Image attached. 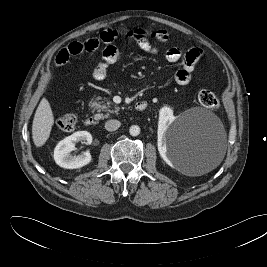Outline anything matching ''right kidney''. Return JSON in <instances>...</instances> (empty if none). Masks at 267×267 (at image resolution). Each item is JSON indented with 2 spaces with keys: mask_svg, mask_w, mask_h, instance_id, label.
<instances>
[{
  "mask_svg": "<svg viewBox=\"0 0 267 267\" xmlns=\"http://www.w3.org/2000/svg\"><path fill=\"white\" fill-rule=\"evenodd\" d=\"M79 141L85 144H91L92 136L87 131H77L57 144L53 155L57 165L65 169H77L91 162V154L88 151L77 156L70 154L75 150V143Z\"/></svg>",
  "mask_w": 267,
  "mask_h": 267,
  "instance_id": "right-kidney-1",
  "label": "right kidney"
}]
</instances>
